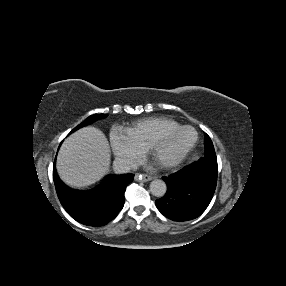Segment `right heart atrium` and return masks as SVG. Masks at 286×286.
Returning a JSON list of instances; mask_svg holds the SVG:
<instances>
[{"label":"right heart atrium","instance_id":"right-heart-atrium-1","mask_svg":"<svg viewBox=\"0 0 286 286\" xmlns=\"http://www.w3.org/2000/svg\"><path fill=\"white\" fill-rule=\"evenodd\" d=\"M110 145L116 158L124 164L133 165L142 156L145 149L135 141L127 131H113Z\"/></svg>","mask_w":286,"mask_h":286}]
</instances>
